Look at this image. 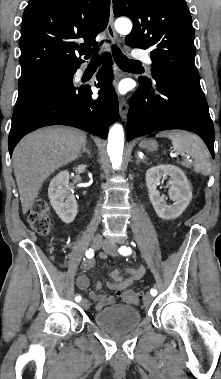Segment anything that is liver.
I'll use <instances>...</instances> for the list:
<instances>
[{
	"label": "liver",
	"instance_id": "obj_1",
	"mask_svg": "<svg viewBox=\"0 0 221 379\" xmlns=\"http://www.w3.org/2000/svg\"><path fill=\"white\" fill-rule=\"evenodd\" d=\"M86 134L68 127L42 128L24 137L14 149V174L24 214L32 208L43 182L75 160Z\"/></svg>",
	"mask_w": 221,
	"mask_h": 379
}]
</instances>
